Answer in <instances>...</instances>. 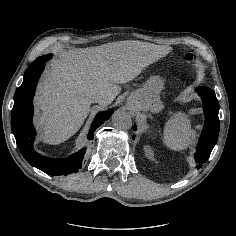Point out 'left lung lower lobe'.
Wrapping results in <instances>:
<instances>
[{
	"instance_id": "1",
	"label": "left lung lower lobe",
	"mask_w": 236,
	"mask_h": 236,
	"mask_svg": "<svg viewBox=\"0 0 236 236\" xmlns=\"http://www.w3.org/2000/svg\"><path fill=\"white\" fill-rule=\"evenodd\" d=\"M197 92L203 100L205 114V124L195 154V161L200 163L199 168L209 158L211 151L217 143L220 123L218 118L219 102L215 92L208 87L202 86L197 88ZM133 129L136 130V126Z\"/></svg>"
}]
</instances>
